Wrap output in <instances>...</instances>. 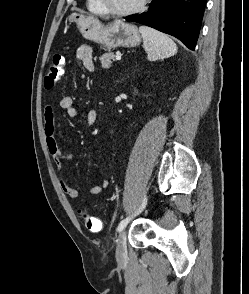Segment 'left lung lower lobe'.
<instances>
[{
	"label": "left lung lower lobe",
	"mask_w": 249,
	"mask_h": 294,
	"mask_svg": "<svg viewBox=\"0 0 249 294\" xmlns=\"http://www.w3.org/2000/svg\"><path fill=\"white\" fill-rule=\"evenodd\" d=\"M207 0H153L149 10L125 17L175 36L194 50Z\"/></svg>",
	"instance_id": "left-lung-lower-lobe-1"
}]
</instances>
